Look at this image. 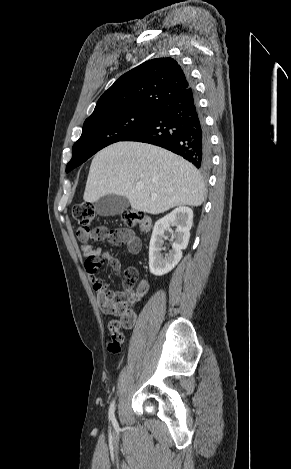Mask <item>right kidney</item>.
Masks as SVG:
<instances>
[{
	"label": "right kidney",
	"instance_id": "1",
	"mask_svg": "<svg viewBox=\"0 0 291 469\" xmlns=\"http://www.w3.org/2000/svg\"><path fill=\"white\" fill-rule=\"evenodd\" d=\"M193 222V211L188 207H179L159 219L153 228L149 246V268L155 276H163L170 272L181 260L182 250L187 248L190 229ZM176 226L172 250L163 256L164 232Z\"/></svg>",
	"mask_w": 291,
	"mask_h": 469
}]
</instances>
